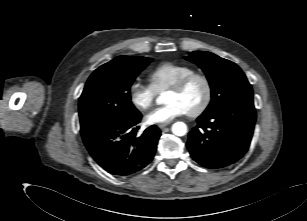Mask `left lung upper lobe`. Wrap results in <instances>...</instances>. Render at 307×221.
Wrapping results in <instances>:
<instances>
[{"instance_id": "5c2ea615", "label": "left lung upper lobe", "mask_w": 307, "mask_h": 221, "mask_svg": "<svg viewBox=\"0 0 307 221\" xmlns=\"http://www.w3.org/2000/svg\"><path fill=\"white\" fill-rule=\"evenodd\" d=\"M186 59L197 64L209 81L212 100L205 112L234 102H253L252 87L235 63L205 51L191 52Z\"/></svg>"}]
</instances>
